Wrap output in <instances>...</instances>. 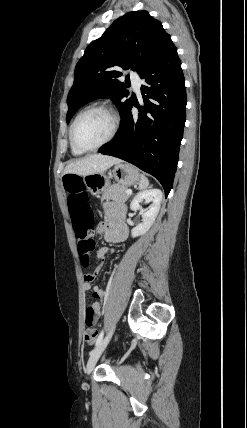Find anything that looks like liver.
Segmentation results:
<instances>
[{
	"mask_svg": "<svg viewBox=\"0 0 247 428\" xmlns=\"http://www.w3.org/2000/svg\"><path fill=\"white\" fill-rule=\"evenodd\" d=\"M121 162V159L113 156L102 154L89 155L68 164L64 170V174L86 176L89 174L101 173Z\"/></svg>",
	"mask_w": 247,
	"mask_h": 428,
	"instance_id": "liver-1",
	"label": "liver"
}]
</instances>
